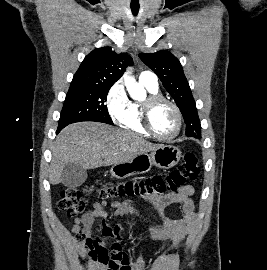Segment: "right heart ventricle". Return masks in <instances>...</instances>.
I'll return each instance as SVG.
<instances>
[{
	"instance_id": "obj_1",
	"label": "right heart ventricle",
	"mask_w": 267,
	"mask_h": 270,
	"mask_svg": "<svg viewBox=\"0 0 267 270\" xmlns=\"http://www.w3.org/2000/svg\"><path fill=\"white\" fill-rule=\"evenodd\" d=\"M141 84L146 88L148 93L159 94L158 86L150 85L148 83ZM120 126L130 132L143 137H149L150 134L144 129L141 123V104L138 102H130L126 116L119 122Z\"/></svg>"
}]
</instances>
